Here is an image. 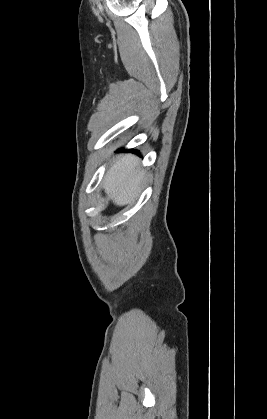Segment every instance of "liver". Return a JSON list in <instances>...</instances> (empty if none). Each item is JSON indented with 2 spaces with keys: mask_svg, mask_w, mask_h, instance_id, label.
<instances>
[{
  "mask_svg": "<svg viewBox=\"0 0 267 419\" xmlns=\"http://www.w3.org/2000/svg\"><path fill=\"white\" fill-rule=\"evenodd\" d=\"M143 176L139 159L132 154H125L111 164L103 187L114 204L124 206L138 196Z\"/></svg>",
  "mask_w": 267,
  "mask_h": 419,
  "instance_id": "obj_1",
  "label": "liver"
}]
</instances>
